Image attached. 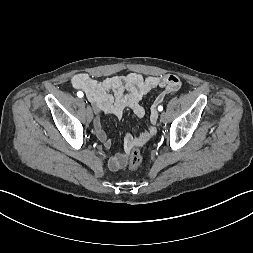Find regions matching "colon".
<instances>
[{"label":"colon","mask_w":253,"mask_h":253,"mask_svg":"<svg viewBox=\"0 0 253 253\" xmlns=\"http://www.w3.org/2000/svg\"><path fill=\"white\" fill-rule=\"evenodd\" d=\"M142 163V154L139 148H134L129 156L128 167L130 170H136Z\"/></svg>","instance_id":"colon-1"}]
</instances>
